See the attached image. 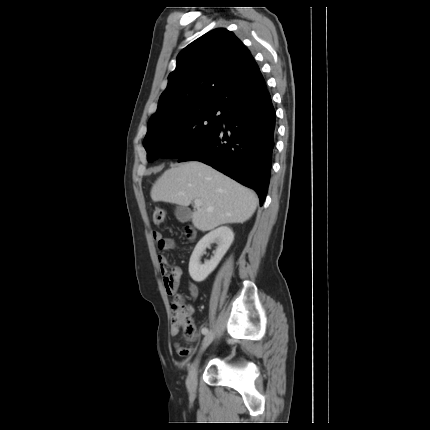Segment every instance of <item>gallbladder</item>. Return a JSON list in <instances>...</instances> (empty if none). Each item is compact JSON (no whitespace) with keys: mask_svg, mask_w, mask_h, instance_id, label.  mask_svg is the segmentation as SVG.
<instances>
[{"mask_svg":"<svg viewBox=\"0 0 430 430\" xmlns=\"http://www.w3.org/2000/svg\"><path fill=\"white\" fill-rule=\"evenodd\" d=\"M175 216L180 222H186L191 218L192 212L187 207L177 206L175 209Z\"/></svg>","mask_w":430,"mask_h":430,"instance_id":"obj_1","label":"gallbladder"}]
</instances>
